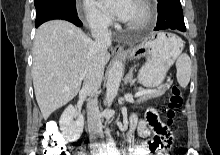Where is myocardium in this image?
<instances>
[{
  "label": "myocardium",
  "instance_id": "myocardium-1",
  "mask_svg": "<svg viewBox=\"0 0 220 155\" xmlns=\"http://www.w3.org/2000/svg\"><path fill=\"white\" fill-rule=\"evenodd\" d=\"M135 2L144 10V16L142 20L138 22H127L126 26L130 29H142L152 21L155 13V7L152 0H135Z\"/></svg>",
  "mask_w": 220,
  "mask_h": 155
}]
</instances>
